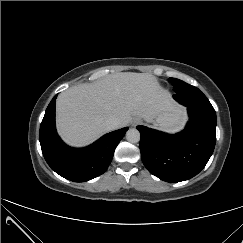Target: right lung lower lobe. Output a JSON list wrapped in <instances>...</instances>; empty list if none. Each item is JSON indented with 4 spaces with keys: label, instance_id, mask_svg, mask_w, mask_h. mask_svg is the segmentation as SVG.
I'll return each mask as SVG.
<instances>
[{
    "label": "right lung lower lobe",
    "instance_id": "obj_1",
    "mask_svg": "<svg viewBox=\"0 0 243 243\" xmlns=\"http://www.w3.org/2000/svg\"><path fill=\"white\" fill-rule=\"evenodd\" d=\"M56 97L48 105L40 126L39 140L46 162L57 174L74 182H85L103 174L128 128L108 133L89 147L70 148L56 133Z\"/></svg>",
    "mask_w": 243,
    "mask_h": 243
}]
</instances>
